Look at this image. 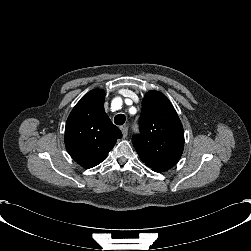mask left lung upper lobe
Returning <instances> with one entry per match:
<instances>
[{"instance_id": "left-lung-upper-lobe-1", "label": "left lung upper lobe", "mask_w": 251, "mask_h": 251, "mask_svg": "<svg viewBox=\"0 0 251 251\" xmlns=\"http://www.w3.org/2000/svg\"><path fill=\"white\" fill-rule=\"evenodd\" d=\"M141 134L132 138L140 159L155 172L167 171L180 159L184 149L181 121L168 98L150 91L142 101Z\"/></svg>"}]
</instances>
